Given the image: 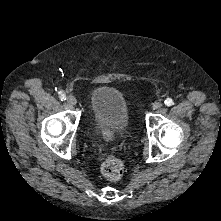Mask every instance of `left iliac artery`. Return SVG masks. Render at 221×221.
Wrapping results in <instances>:
<instances>
[{
  "label": "left iliac artery",
  "mask_w": 221,
  "mask_h": 221,
  "mask_svg": "<svg viewBox=\"0 0 221 221\" xmlns=\"http://www.w3.org/2000/svg\"><path fill=\"white\" fill-rule=\"evenodd\" d=\"M164 104L166 106H171L173 105V100L171 98H167L165 101H164Z\"/></svg>",
  "instance_id": "obj_1"
}]
</instances>
